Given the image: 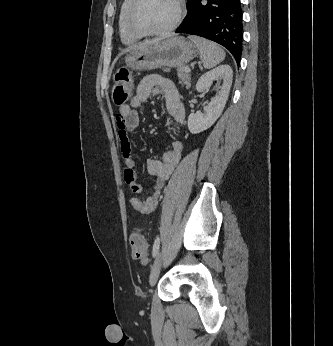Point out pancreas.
<instances>
[{
	"label": "pancreas",
	"mask_w": 333,
	"mask_h": 346,
	"mask_svg": "<svg viewBox=\"0 0 333 346\" xmlns=\"http://www.w3.org/2000/svg\"><path fill=\"white\" fill-rule=\"evenodd\" d=\"M185 68H186L185 66H182V67H179L177 69L178 79H179V82L182 85H185L186 88H190V86H191V83H190L191 77H190L189 73H185Z\"/></svg>",
	"instance_id": "1"
}]
</instances>
